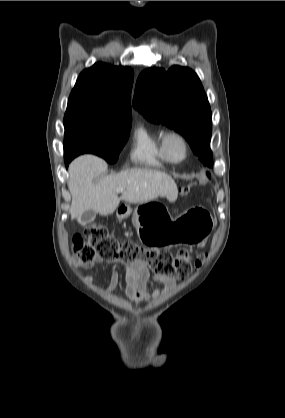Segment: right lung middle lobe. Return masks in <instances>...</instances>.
Segmentation results:
<instances>
[{
  "label": "right lung middle lobe",
  "mask_w": 285,
  "mask_h": 418,
  "mask_svg": "<svg viewBox=\"0 0 285 418\" xmlns=\"http://www.w3.org/2000/svg\"><path fill=\"white\" fill-rule=\"evenodd\" d=\"M64 158L74 159L92 153L115 163L124 146L131 125L119 124L102 118L65 114Z\"/></svg>",
  "instance_id": "obj_1"
}]
</instances>
